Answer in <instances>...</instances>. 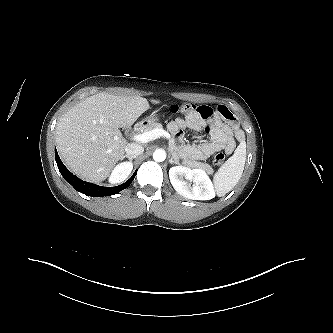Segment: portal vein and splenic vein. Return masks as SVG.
Instances as JSON below:
<instances>
[{"instance_id": "1", "label": "portal vein and splenic vein", "mask_w": 333, "mask_h": 333, "mask_svg": "<svg viewBox=\"0 0 333 333\" xmlns=\"http://www.w3.org/2000/svg\"><path fill=\"white\" fill-rule=\"evenodd\" d=\"M161 136L166 137L168 139L170 138V134L168 132H166L163 129L156 128V129H153V130L148 131V132H143L141 134H136V135L132 136L131 139L134 140V141H137V142L147 143V142L155 140V139H157Z\"/></svg>"}]
</instances>
